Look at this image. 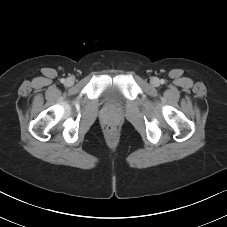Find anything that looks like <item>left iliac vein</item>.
<instances>
[{"mask_svg":"<svg viewBox=\"0 0 227 227\" xmlns=\"http://www.w3.org/2000/svg\"><path fill=\"white\" fill-rule=\"evenodd\" d=\"M150 82L153 86H158L160 84L159 79L156 77L151 78Z\"/></svg>","mask_w":227,"mask_h":227,"instance_id":"1","label":"left iliac vein"}]
</instances>
